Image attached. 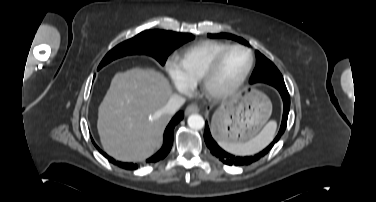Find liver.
<instances>
[{
  "label": "liver",
  "mask_w": 376,
  "mask_h": 202,
  "mask_svg": "<svg viewBox=\"0 0 376 202\" xmlns=\"http://www.w3.org/2000/svg\"><path fill=\"white\" fill-rule=\"evenodd\" d=\"M170 95L168 80L153 68L115 74L98 112L97 129L105 152L123 162L150 157L170 120L162 111Z\"/></svg>",
  "instance_id": "6515ba94"
}]
</instances>
